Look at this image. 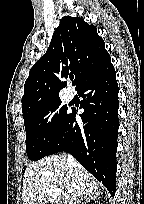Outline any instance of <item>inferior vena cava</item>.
<instances>
[{"mask_svg":"<svg viewBox=\"0 0 144 204\" xmlns=\"http://www.w3.org/2000/svg\"><path fill=\"white\" fill-rule=\"evenodd\" d=\"M68 163L70 164V165H74L75 164V160H74V158L71 156V155H68ZM78 199H77V197L76 196H73L71 199H69L67 202H66V204H77L78 203Z\"/></svg>","mask_w":144,"mask_h":204,"instance_id":"1","label":"inferior vena cava"}]
</instances>
